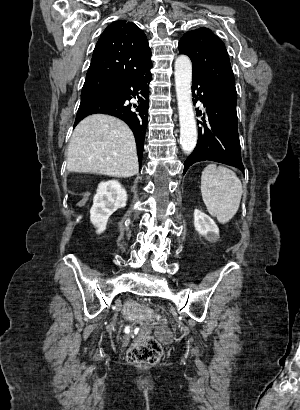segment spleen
Returning a JSON list of instances; mask_svg holds the SVG:
<instances>
[{
  "label": "spleen",
  "mask_w": 300,
  "mask_h": 410,
  "mask_svg": "<svg viewBox=\"0 0 300 410\" xmlns=\"http://www.w3.org/2000/svg\"><path fill=\"white\" fill-rule=\"evenodd\" d=\"M201 193L209 214L225 224L238 211L242 183L232 170L210 164L202 172Z\"/></svg>",
  "instance_id": "obj_1"
}]
</instances>
